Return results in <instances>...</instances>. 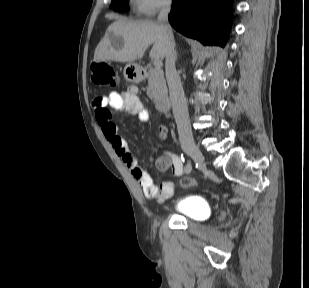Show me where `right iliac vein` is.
<instances>
[{"instance_id":"63e3f726","label":"right iliac vein","mask_w":309,"mask_h":288,"mask_svg":"<svg viewBox=\"0 0 309 288\" xmlns=\"http://www.w3.org/2000/svg\"><path fill=\"white\" fill-rule=\"evenodd\" d=\"M184 151L196 162L201 160L203 163V169L205 168V157L198 147L195 145H189L184 148Z\"/></svg>"}]
</instances>
